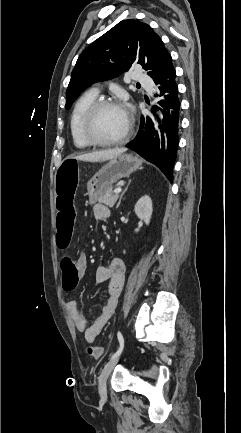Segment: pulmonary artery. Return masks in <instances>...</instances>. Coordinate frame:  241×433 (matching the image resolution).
Here are the masks:
<instances>
[{"label":"pulmonary artery","instance_id":"pulmonary-artery-1","mask_svg":"<svg viewBox=\"0 0 241 433\" xmlns=\"http://www.w3.org/2000/svg\"><path fill=\"white\" fill-rule=\"evenodd\" d=\"M134 76H135V80H136L138 83H140V84H148V83H150V79H149L148 76L145 75L144 73H141V72H135ZM92 91H93L94 93L97 94L98 89H97V88H94Z\"/></svg>","mask_w":241,"mask_h":433}]
</instances>
